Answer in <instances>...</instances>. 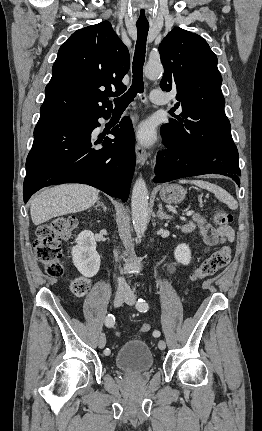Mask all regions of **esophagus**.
I'll return each instance as SVG.
<instances>
[{
    "label": "esophagus",
    "mask_w": 262,
    "mask_h": 431,
    "mask_svg": "<svg viewBox=\"0 0 262 431\" xmlns=\"http://www.w3.org/2000/svg\"><path fill=\"white\" fill-rule=\"evenodd\" d=\"M137 161L140 165H144L148 158L147 151L139 144L137 143L135 146Z\"/></svg>",
    "instance_id": "1"
}]
</instances>
